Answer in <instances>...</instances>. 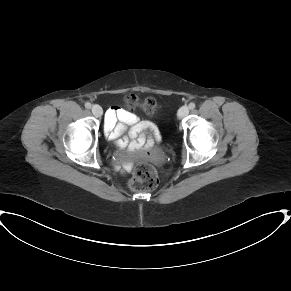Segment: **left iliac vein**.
I'll use <instances>...</instances> for the list:
<instances>
[{"label": "left iliac vein", "instance_id": "obj_1", "mask_svg": "<svg viewBox=\"0 0 291 291\" xmlns=\"http://www.w3.org/2000/svg\"><path fill=\"white\" fill-rule=\"evenodd\" d=\"M189 114V108L187 106H183L178 110V117L183 118Z\"/></svg>", "mask_w": 291, "mask_h": 291}]
</instances>
